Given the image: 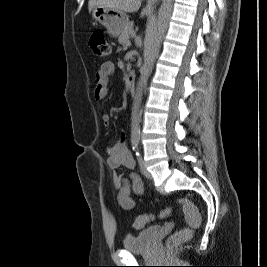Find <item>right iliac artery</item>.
Instances as JSON below:
<instances>
[{
    "label": "right iliac artery",
    "instance_id": "right-iliac-artery-1",
    "mask_svg": "<svg viewBox=\"0 0 267 267\" xmlns=\"http://www.w3.org/2000/svg\"><path fill=\"white\" fill-rule=\"evenodd\" d=\"M132 148H133V150H135L137 148V142L136 141H132Z\"/></svg>",
    "mask_w": 267,
    "mask_h": 267
}]
</instances>
